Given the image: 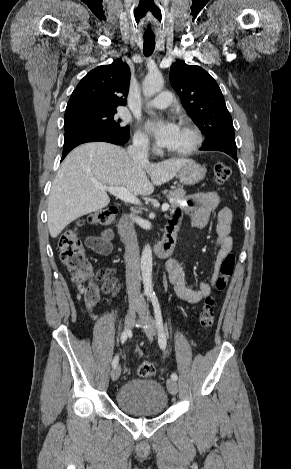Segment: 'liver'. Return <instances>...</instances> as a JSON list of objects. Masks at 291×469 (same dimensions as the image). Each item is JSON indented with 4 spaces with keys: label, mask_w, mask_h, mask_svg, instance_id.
<instances>
[{
    "label": "liver",
    "mask_w": 291,
    "mask_h": 469,
    "mask_svg": "<svg viewBox=\"0 0 291 469\" xmlns=\"http://www.w3.org/2000/svg\"><path fill=\"white\" fill-rule=\"evenodd\" d=\"M191 161H135L123 148L103 142L77 147L65 158L52 184L47 211L51 237L77 218L108 206L106 191L96 189V183L124 187L134 196L150 195L155 185L169 182Z\"/></svg>",
    "instance_id": "obj_1"
}]
</instances>
